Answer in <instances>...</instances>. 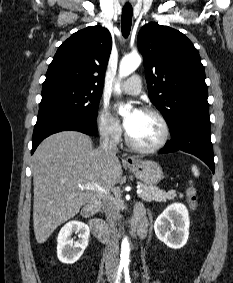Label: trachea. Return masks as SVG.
<instances>
[{
    "label": "trachea",
    "instance_id": "obj_1",
    "mask_svg": "<svg viewBox=\"0 0 233 283\" xmlns=\"http://www.w3.org/2000/svg\"><path fill=\"white\" fill-rule=\"evenodd\" d=\"M132 7H123L122 10V19H121V31L125 38L129 36L131 25H132Z\"/></svg>",
    "mask_w": 233,
    "mask_h": 283
}]
</instances>
